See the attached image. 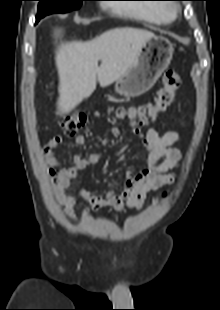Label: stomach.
<instances>
[{
  "label": "stomach",
  "mask_w": 220,
  "mask_h": 310,
  "mask_svg": "<svg viewBox=\"0 0 220 310\" xmlns=\"http://www.w3.org/2000/svg\"><path fill=\"white\" fill-rule=\"evenodd\" d=\"M173 45L162 36L146 41L133 65L115 81V91L125 97H137L153 87L168 68Z\"/></svg>",
  "instance_id": "obj_1"
}]
</instances>
